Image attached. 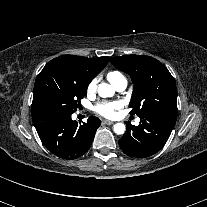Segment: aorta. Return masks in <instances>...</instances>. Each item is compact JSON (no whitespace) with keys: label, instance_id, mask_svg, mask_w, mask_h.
I'll use <instances>...</instances> for the list:
<instances>
[{"label":"aorta","instance_id":"762f6f07","mask_svg":"<svg viewBox=\"0 0 207 207\" xmlns=\"http://www.w3.org/2000/svg\"><path fill=\"white\" fill-rule=\"evenodd\" d=\"M98 94L101 97H112L114 90L108 83H101L98 86ZM114 132L118 135H122L125 132V125L123 123H116L113 126Z\"/></svg>","mask_w":207,"mask_h":207}]
</instances>
